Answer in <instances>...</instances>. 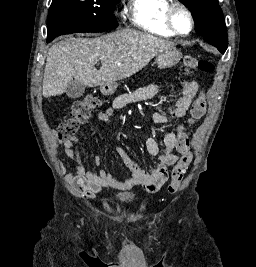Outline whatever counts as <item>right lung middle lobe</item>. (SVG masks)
I'll return each mask as SVG.
<instances>
[{
	"label": "right lung middle lobe",
	"instance_id": "dd1d6c3e",
	"mask_svg": "<svg viewBox=\"0 0 256 267\" xmlns=\"http://www.w3.org/2000/svg\"><path fill=\"white\" fill-rule=\"evenodd\" d=\"M120 0H52L48 38L78 32H101L117 27L113 15Z\"/></svg>",
	"mask_w": 256,
	"mask_h": 267
}]
</instances>
